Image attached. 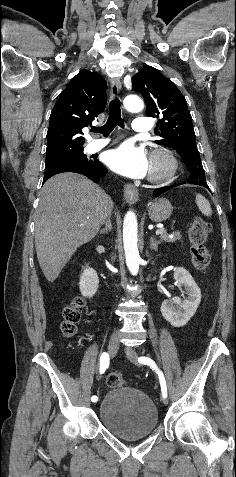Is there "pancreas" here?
I'll return each instance as SVG.
<instances>
[{"mask_svg": "<svg viewBox=\"0 0 236 477\" xmlns=\"http://www.w3.org/2000/svg\"><path fill=\"white\" fill-rule=\"evenodd\" d=\"M161 239L168 242V243H173L176 242L177 240L181 239V234L180 232H174L172 236H170L167 233H163L160 235Z\"/></svg>", "mask_w": 236, "mask_h": 477, "instance_id": "1", "label": "pancreas"}]
</instances>
